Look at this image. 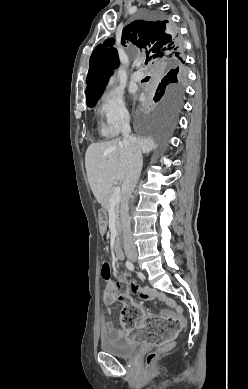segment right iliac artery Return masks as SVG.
I'll list each match as a JSON object with an SVG mask.
<instances>
[{
  "instance_id": "1",
  "label": "right iliac artery",
  "mask_w": 248,
  "mask_h": 389,
  "mask_svg": "<svg viewBox=\"0 0 248 389\" xmlns=\"http://www.w3.org/2000/svg\"><path fill=\"white\" fill-rule=\"evenodd\" d=\"M126 267L131 271L134 270V265L130 261H126Z\"/></svg>"
}]
</instances>
